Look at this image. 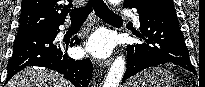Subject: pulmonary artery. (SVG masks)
<instances>
[{
	"instance_id": "1",
	"label": "pulmonary artery",
	"mask_w": 205,
	"mask_h": 87,
	"mask_svg": "<svg viewBox=\"0 0 205 87\" xmlns=\"http://www.w3.org/2000/svg\"><path fill=\"white\" fill-rule=\"evenodd\" d=\"M133 21H134V23H135L137 26L140 25V22H139V19H138L137 16H133Z\"/></svg>"
}]
</instances>
